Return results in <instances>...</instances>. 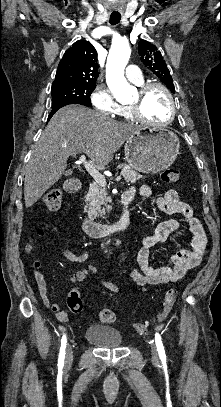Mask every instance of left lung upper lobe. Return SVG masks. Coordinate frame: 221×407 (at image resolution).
I'll list each match as a JSON object with an SVG mask.
<instances>
[{
	"mask_svg": "<svg viewBox=\"0 0 221 407\" xmlns=\"http://www.w3.org/2000/svg\"><path fill=\"white\" fill-rule=\"evenodd\" d=\"M141 61L148 67L171 92L175 93V87L169 69L157 47L146 40L138 43Z\"/></svg>",
	"mask_w": 221,
	"mask_h": 407,
	"instance_id": "obj_1",
	"label": "left lung upper lobe"
}]
</instances>
